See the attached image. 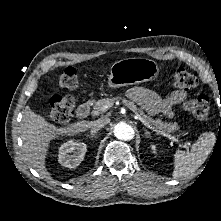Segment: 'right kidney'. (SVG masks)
Here are the masks:
<instances>
[{
    "instance_id": "1",
    "label": "right kidney",
    "mask_w": 221,
    "mask_h": 221,
    "mask_svg": "<svg viewBox=\"0 0 221 221\" xmlns=\"http://www.w3.org/2000/svg\"><path fill=\"white\" fill-rule=\"evenodd\" d=\"M86 151L87 145L85 143L69 140L59 148V163L70 169L76 168L83 161Z\"/></svg>"
}]
</instances>
